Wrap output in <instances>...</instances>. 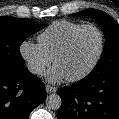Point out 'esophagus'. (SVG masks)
Returning <instances> with one entry per match:
<instances>
[{
	"label": "esophagus",
	"mask_w": 119,
	"mask_h": 119,
	"mask_svg": "<svg viewBox=\"0 0 119 119\" xmlns=\"http://www.w3.org/2000/svg\"><path fill=\"white\" fill-rule=\"evenodd\" d=\"M45 89H46L47 93H55L57 91L56 87H53V86H50V85H46Z\"/></svg>",
	"instance_id": "obj_1"
}]
</instances>
